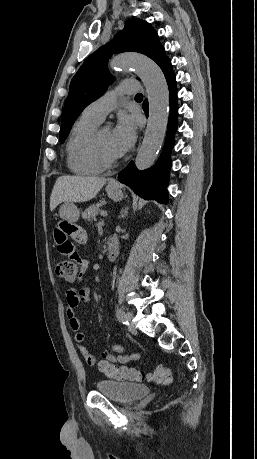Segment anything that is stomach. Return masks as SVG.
I'll list each match as a JSON object with an SVG mask.
<instances>
[{
	"mask_svg": "<svg viewBox=\"0 0 257 459\" xmlns=\"http://www.w3.org/2000/svg\"><path fill=\"white\" fill-rule=\"evenodd\" d=\"M106 192L108 196L114 201H120L123 198V193L120 188L107 186ZM60 217L67 222L75 223L78 221L80 216V211L77 206L71 202H65L60 206L59 209Z\"/></svg>",
	"mask_w": 257,
	"mask_h": 459,
	"instance_id": "0dacf381",
	"label": "stomach"
}]
</instances>
